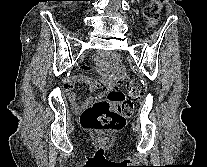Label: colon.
I'll use <instances>...</instances> for the list:
<instances>
[{"mask_svg":"<svg viewBox=\"0 0 207 167\" xmlns=\"http://www.w3.org/2000/svg\"><path fill=\"white\" fill-rule=\"evenodd\" d=\"M162 10V0H152L144 9V15L150 26L156 24ZM116 61L117 56L111 55ZM124 83L115 79L114 87L110 88L99 101L87 108L81 116L83 128L92 131H110L120 129L133 111V102L144 93L140 84L125 82V91L119 89Z\"/></svg>","mask_w":207,"mask_h":167,"instance_id":"colon-1","label":"colon"}]
</instances>
